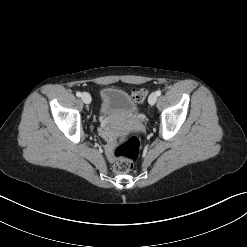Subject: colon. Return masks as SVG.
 <instances>
[{
  "instance_id": "colon-1",
  "label": "colon",
  "mask_w": 247,
  "mask_h": 247,
  "mask_svg": "<svg viewBox=\"0 0 247 247\" xmlns=\"http://www.w3.org/2000/svg\"><path fill=\"white\" fill-rule=\"evenodd\" d=\"M147 95L145 89H134L132 96L136 102H142ZM140 127L135 128V132L126 138L117 141L108 140L111 146V159L113 169L117 173H127L135 168L140 153L141 140L137 132Z\"/></svg>"
}]
</instances>
